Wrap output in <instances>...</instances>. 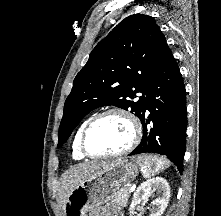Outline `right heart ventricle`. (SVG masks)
<instances>
[{
  "mask_svg": "<svg viewBox=\"0 0 221 216\" xmlns=\"http://www.w3.org/2000/svg\"><path fill=\"white\" fill-rule=\"evenodd\" d=\"M89 119H90V117L83 121V123L80 125L79 129L77 130V132L74 136V140L72 143V155L75 159L85 158V155L82 153L80 146H79V139H80L81 132Z\"/></svg>",
  "mask_w": 221,
  "mask_h": 216,
  "instance_id": "obj_1",
  "label": "right heart ventricle"
}]
</instances>
